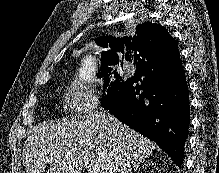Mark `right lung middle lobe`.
<instances>
[{"label":"right lung middle lobe","mask_w":219,"mask_h":173,"mask_svg":"<svg viewBox=\"0 0 219 173\" xmlns=\"http://www.w3.org/2000/svg\"><path fill=\"white\" fill-rule=\"evenodd\" d=\"M98 77L102 78L104 82L101 105L105 107L113 100L116 93L126 84L131 76L123 69V66H118L104 68Z\"/></svg>","instance_id":"1"}]
</instances>
